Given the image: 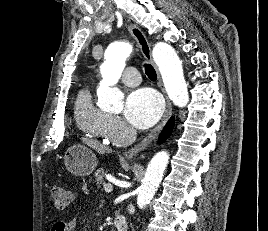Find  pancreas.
Instances as JSON below:
<instances>
[{
    "label": "pancreas",
    "mask_w": 268,
    "mask_h": 231,
    "mask_svg": "<svg viewBox=\"0 0 268 231\" xmlns=\"http://www.w3.org/2000/svg\"><path fill=\"white\" fill-rule=\"evenodd\" d=\"M106 173H107V171H105L103 168H99L95 172L96 182L99 186L104 184V182H105L104 177H105Z\"/></svg>",
    "instance_id": "obj_1"
}]
</instances>
